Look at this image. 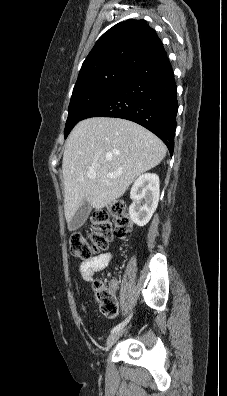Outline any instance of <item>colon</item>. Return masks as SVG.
Instances as JSON below:
<instances>
[{
  "instance_id": "1",
  "label": "colon",
  "mask_w": 227,
  "mask_h": 396,
  "mask_svg": "<svg viewBox=\"0 0 227 396\" xmlns=\"http://www.w3.org/2000/svg\"><path fill=\"white\" fill-rule=\"evenodd\" d=\"M131 230L132 223L124 203L116 201L94 215L89 238L81 234L70 237V251L75 258L87 261L107 249L114 236L123 239ZM93 291L101 312L108 317L116 316L118 305L112 287L97 279L93 282Z\"/></svg>"
}]
</instances>
